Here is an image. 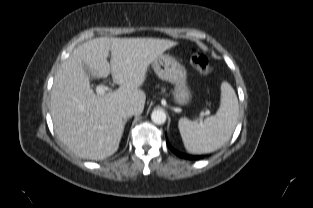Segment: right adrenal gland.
Instances as JSON below:
<instances>
[{
  "label": "right adrenal gland",
  "instance_id": "1",
  "mask_svg": "<svg viewBox=\"0 0 313 208\" xmlns=\"http://www.w3.org/2000/svg\"><path fill=\"white\" fill-rule=\"evenodd\" d=\"M127 122V119H124L123 123L125 124Z\"/></svg>",
  "mask_w": 313,
  "mask_h": 208
}]
</instances>
